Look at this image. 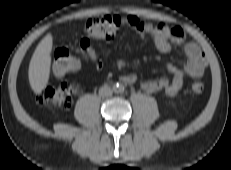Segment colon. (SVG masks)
Segmentation results:
<instances>
[{
  "mask_svg": "<svg viewBox=\"0 0 231 170\" xmlns=\"http://www.w3.org/2000/svg\"><path fill=\"white\" fill-rule=\"evenodd\" d=\"M125 17L106 14L89 19L84 26V33L90 38L110 39L119 28L124 25ZM79 60L66 48L60 47L54 53L52 71L56 76H65L79 68ZM204 90L202 81L197 80L191 84L190 91L200 94ZM78 87L71 83H61L48 87L36 95L38 103L56 108L67 109L74 100Z\"/></svg>",
  "mask_w": 231,
  "mask_h": 170,
  "instance_id": "colon-1",
  "label": "colon"
}]
</instances>
